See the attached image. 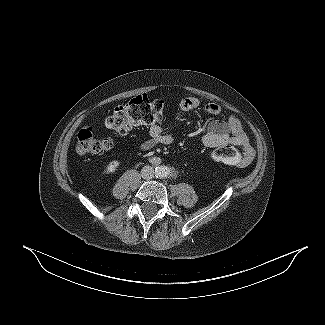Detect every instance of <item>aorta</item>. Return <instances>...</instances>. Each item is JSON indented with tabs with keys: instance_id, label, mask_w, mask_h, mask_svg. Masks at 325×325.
<instances>
[{
	"instance_id": "obj_1",
	"label": "aorta",
	"mask_w": 325,
	"mask_h": 325,
	"mask_svg": "<svg viewBox=\"0 0 325 325\" xmlns=\"http://www.w3.org/2000/svg\"><path fill=\"white\" fill-rule=\"evenodd\" d=\"M170 174V168L167 166H159L155 169V175L158 178H165Z\"/></svg>"
}]
</instances>
